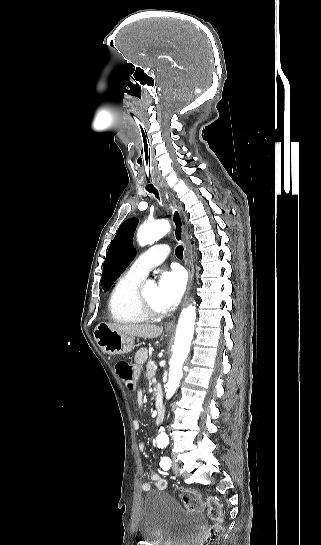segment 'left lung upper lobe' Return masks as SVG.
Segmentation results:
<instances>
[{"mask_svg": "<svg viewBox=\"0 0 321 545\" xmlns=\"http://www.w3.org/2000/svg\"><path fill=\"white\" fill-rule=\"evenodd\" d=\"M138 220L131 218L122 223L111 242L103 266L102 288L108 291L135 256L132 239Z\"/></svg>", "mask_w": 321, "mask_h": 545, "instance_id": "1", "label": "left lung upper lobe"}]
</instances>
